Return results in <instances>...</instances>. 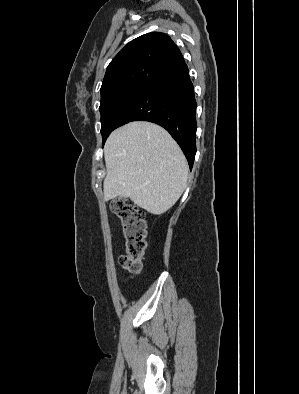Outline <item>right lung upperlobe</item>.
Returning a JSON list of instances; mask_svg holds the SVG:
<instances>
[{
	"instance_id": "1",
	"label": "right lung upper lobe",
	"mask_w": 299,
	"mask_h": 394,
	"mask_svg": "<svg viewBox=\"0 0 299 394\" xmlns=\"http://www.w3.org/2000/svg\"><path fill=\"white\" fill-rule=\"evenodd\" d=\"M184 63L183 56L164 33L151 32L129 42L110 62L101 93L119 85H151Z\"/></svg>"
}]
</instances>
